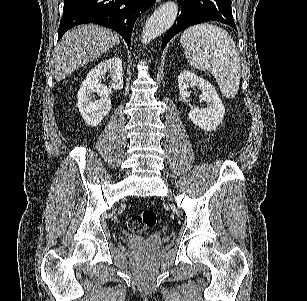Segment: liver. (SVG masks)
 I'll use <instances>...</instances> for the list:
<instances>
[{"instance_id":"1","label":"liver","mask_w":307,"mask_h":301,"mask_svg":"<svg viewBox=\"0 0 307 301\" xmlns=\"http://www.w3.org/2000/svg\"><path fill=\"white\" fill-rule=\"evenodd\" d=\"M120 42V34L98 24H79L62 36L52 58L55 80L60 82L68 74L92 62Z\"/></svg>"}]
</instances>
